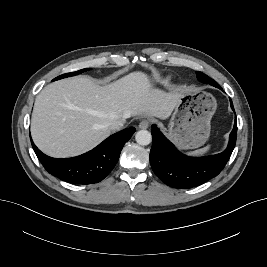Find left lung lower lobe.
<instances>
[{
	"label": "left lung lower lobe",
	"instance_id": "left-lung-lower-lobe-1",
	"mask_svg": "<svg viewBox=\"0 0 267 267\" xmlns=\"http://www.w3.org/2000/svg\"><path fill=\"white\" fill-rule=\"evenodd\" d=\"M215 87L221 89L219 85ZM230 104L234 111L231 99ZM152 128L151 167L165 184L179 189L193 188L216 177L225 167L236 144V119L226 150L205 157H189L180 153L156 125Z\"/></svg>",
	"mask_w": 267,
	"mask_h": 267
}]
</instances>
